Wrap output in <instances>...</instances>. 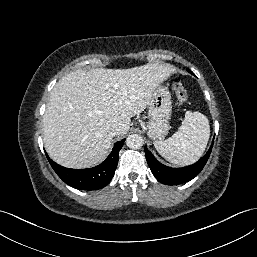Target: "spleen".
I'll use <instances>...</instances> for the list:
<instances>
[{
  "instance_id": "3e777b00",
  "label": "spleen",
  "mask_w": 257,
  "mask_h": 257,
  "mask_svg": "<svg viewBox=\"0 0 257 257\" xmlns=\"http://www.w3.org/2000/svg\"><path fill=\"white\" fill-rule=\"evenodd\" d=\"M209 136L207 117L200 112L187 111L178 131L165 141H155L154 146L167 161L176 165H188L202 156Z\"/></svg>"
}]
</instances>
